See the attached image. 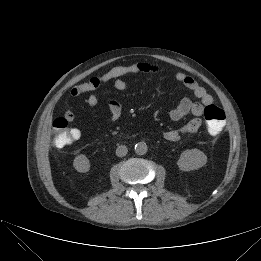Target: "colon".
I'll return each instance as SVG.
<instances>
[{
	"mask_svg": "<svg viewBox=\"0 0 261 261\" xmlns=\"http://www.w3.org/2000/svg\"><path fill=\"white\" fill-rule=\"evenodd\" d=\"M204 119L207 130L210 134H218L225 122L224 111L216 105L209 104L204 108ZM54 145L62 148L76 142L80 133L77 129L68 126V121L64 117L57 118L53 122Z\"/></svg>",
	"mask_w": 261,
	"mask_h": 261,
	"instance_id": "1",
	"label": "colon"
}]
</instances>
